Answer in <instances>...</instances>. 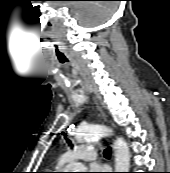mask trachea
I'll use <instances>...</instances> for the list:
<instances>
[{
	"label": "trachea",
	"mask_w": 170,
	"mask_h": 173,
	"mask_svg": "<svg viewBox=\"0 0 170 173\" xmlns=\"http://www.w3.org/2000/svg\"><path fill=\"white\" fill-rule=\"evenodd\" d=\"M104 156L105 157H110L111 156V148L108 147L104 150Z\"/></svg>",
	"instance_id": "obj_1"
}]
</instances>
